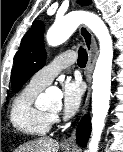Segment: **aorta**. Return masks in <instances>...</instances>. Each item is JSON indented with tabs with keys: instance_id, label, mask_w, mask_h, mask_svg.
<instances>
[{
	"instance_id": "1",
	"label": "aorta",
	"mask_w": 123,
	"mask_h": 152,
	"mask_svg": "<svg viewBox=\"0 0 123 152\" xmlns=\"http://www.w3.org/2000/svg\"><path fill=\"white\" fill-rule=\"evenodd\" d=\"M86 24L99 40L100 53L93 73L92 84V134L88 152H97L105 119L109 110L111 95V71L113 61V41L104 22L95 14L72 12L61 19H57L48 29L47 43L57 46L65 42L80 24ZM48 90L40 96V104L48 107L51 100L57 99Z\"/></svg>"
}]
</instances>
